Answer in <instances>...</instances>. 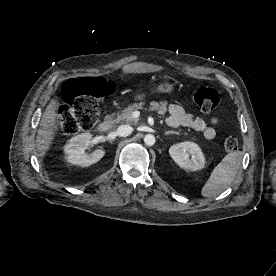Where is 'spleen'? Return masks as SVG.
<instances>
[{
    "label": "spleen",
    "mask_w": 276,
    "mask_h": 276,
    "mask_svg": "<svg viewBox=\"0 0 276 276\" xmlns=\"http://www.w3.org/2000/svg\"><path fill=\"white\" fill-rule=\"evenodd\" d=\"M242 161L240 151L227 154L214 168L201 190L204 197H213L223 192L235 179Z\"/></svg>",
    "instance_id": "obj_1"
}]
</instances>
